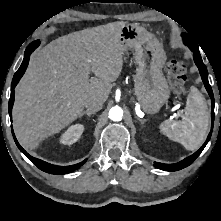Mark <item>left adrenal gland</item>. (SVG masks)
<instances>
[{"label":"left adrenal gland","instance_id":"1","mask_svg":"<svg viewBox=\"0 0 221 221\" xmlns=\"http://www.w3.org/2000/svg\"><path fill=\"white\" fill-rule=\"evenodd\" d=\"M140 122H141V124H144L145 122H146V120L145 119H138Z\"/></svg>","mask_w":221,"mask_h":221}]
</instances>
